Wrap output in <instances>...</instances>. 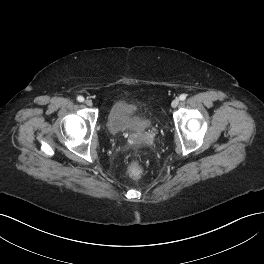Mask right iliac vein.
Masks as SVG:
<instances>
[{
	"instance_id": "63e3f726",
	"label": "right iliac vein",
	"mask_w": 264,
	"mask_h": 264,
	"mask_svg": "<svg viewBox=\"0 0 264 264\" xmlns=\"http://www.w3.org/2000/svg\"><path fill=\"white\" fill-rule=\"evenodd\" d=\"M85 104H86L87 106H92V105H93V102H92V100H90V99H86V100H85Z\"/></svg>"
}]
</instances>
